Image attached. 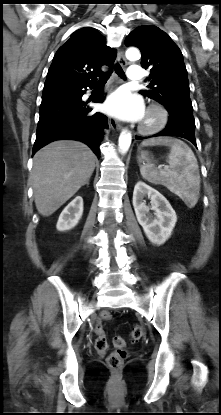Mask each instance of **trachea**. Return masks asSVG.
<instances>
[{"instance_id": "3493384b", "label": "trachea", "mask_w": 221, "mask_h": 415, "mask_svg": "<svg viewBox=\"0 0 221 415\" xmlns=\"http://www.w3.org/2000/svg\"><path fill=\"white\" fill-rule=\"evenodd\" d=\"M115 71L117 73V75L122 78L125 79V73L123 71V69L121 68V66L119 64L115 65ZM110 72L106 73L105 75H103L102 77H100L99 82L104 83L108 80V78L110 77Z\"/></svg>"}]
</instances>
